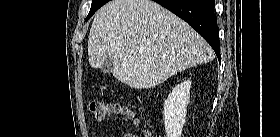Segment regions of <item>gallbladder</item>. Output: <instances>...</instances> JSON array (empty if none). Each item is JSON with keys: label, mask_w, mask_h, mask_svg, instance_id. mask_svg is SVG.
I'll list each match as a JSON object with an SVG mask.
<instances>
[{"label": "gallbladder", "mask_w": 280, "mask_h": 137, "mask_svg": "<svg viewBox=\"0 0 280 137\" xmlns=\"http://www.w3.org/2000/svg\"><path fill=\"white\" fill-rule=\"evenodd\" d=\"M113 67H114L113 61L110 58H107L103 62V65L100 69L103 73L109 74V73H111Z\"/></svg>", "instance_id": "1"}]
</instances>
